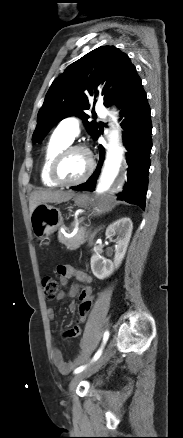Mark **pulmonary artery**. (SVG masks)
Segmentation results:
<instances>
[{
    "instance_id": "obj_1",
    "label": "pulmonary artery",
    "mask_w": 183,
    "mask_h": 438,
    "mask_svg": "<svg viewBox=\"0 0 183 438\" xmlns=\"http://www.w3.org/2000/svg\"><path fill=\"white\" fill-rule=\"evenodd\" d=\"M95 110L99 115L106 114L101 101L96 103ZM57 131L73 141L79 134V120L76 117H67L59 123Z\"/></svg>"
}]
</instances>
